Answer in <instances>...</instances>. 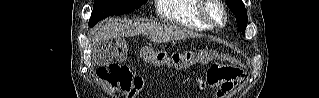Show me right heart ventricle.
<instances>
[{"instance_id":"e07e8e85","label":"right heart ventricle","mask_w":319,"mask_h":98,"mask_svg":"<svg viewBox=\"0 0 319 98\" xmlns=\"http://www.w3.org/2000/svg\"><path fill=\"white\" fill-rule=\"evenodd\" d=\"M200 0H159L158 13L168 22L197 31L210 29L200 16Z\"/></svg>"}]
</instances>
